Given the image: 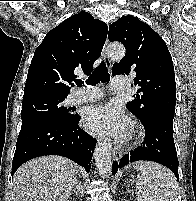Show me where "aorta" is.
<instances>
[{"label":"aorta","instance_id":"762f6f07","mask_svg":"<svg viewBox=\"0 0 196 201\" xmlns=\"http://www.w3.org/2000/svg\"><path fill=\"white\" fill-rule=\"evenodd\" d=\"M106 53L113 60H120L125 55V48L122 44H111L107 47ZM112 144L109 139L99 142L95 148L94 159L98 173L102 177H108L112 170Z\"/></svg>","mask_w":196,"mask_h":201}]
</instances>
